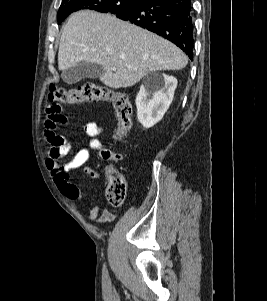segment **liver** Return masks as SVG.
I'll use <instances>...</instances> for the list:
<instances>
[{"label":"liver","mask_w":267,"mask_h":301,"mask_svg":"<svg viewBox=\"0 0 267 301\" xmlns=\"http://www.w3.org/2000/svg\"><path fill=\"white\" fill-rule=\"evenodd\" d=\"M81 62L100 64V81L119 89L135 85L149 72L181 70L187 56L173 43L110 14L84 10L66 23L59 44L58 68Z\"/></svg>","instance_id":"1"}]
</instances>
